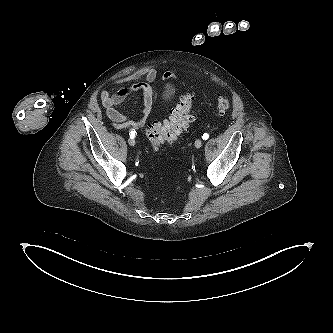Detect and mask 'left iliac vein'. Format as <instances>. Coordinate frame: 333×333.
I'll use <instances>...</instances> for the list:
<instances>
[{"mask_svg": "<svg viewBox=\"0 0 333 333\" xmlns=\"http://www.w3.org/2000/svg\"><path fill=\"white\" fill-rule=\"evenodd\" d=\"M202 146V141L200 140V139H197L196 141H195V147L196 148H200Z\"/></svg>", "mask_w": 333, "mask_h": 333, "instance_id": "obj_1", "label": "left iliac vein"}]
</instances>
